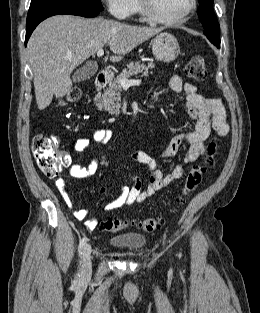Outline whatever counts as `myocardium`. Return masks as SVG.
<instances>
[{"mask_svg":"<svg viewBox=\"0 0 260 313\" xmlns=\"http://www.w3.org/2000/svg\"><path fill=\"white\" fill-rule=\"evenodd\" d=\"M139 8L144 17L157 24L173 25L183 22L188 16H190L197 8V0H190L188 9L181 15L174 18H163L159 16L152 5V0H137Z\"/></svg>","mask_w":260,"mask_h":313,"instance_id":"obj_1","label":"myocardium"}]
</instances>
